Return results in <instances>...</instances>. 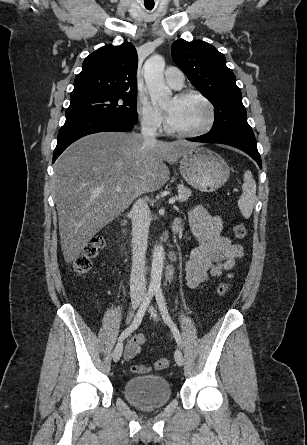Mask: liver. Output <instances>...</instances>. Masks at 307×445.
Listing matches in <instances>:
<instances>
[{
    "instance_id": "liver-1",
    "label": "liver",
    "mask_w": 307,
    "mask_h": 445,
    "mask_svg": "<svg viewBox=\"0 0 307 445\" xmlns=\"http://www.w3.org/2000/svg\"><path fill=\"white\" fill-rule=\"evenodd\" d=\"M199 144H148L137 132H95L73 142L55 162L53 178L65 263L76 261L90 239L136 196L158 190L169 180L164 160L175 162Z\"/></svg>"
}]
</instances>
